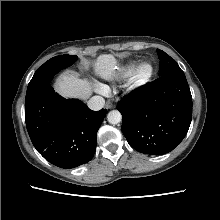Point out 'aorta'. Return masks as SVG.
Segmentation results:
<instances>
[{
  "label": "aorta",
  "mask_w": 220,
  "mask_h": 220,
  "mask_svg": "<svg viewBox=\"0 0 220 220\" xmlns=\"http://www.w3.org/2000/svg\"><path fill=\"white\" fill-rule=\"evenodd\" d=\"M107 120L111 124H118L122 120V115L117 110H112L107 114Z\"/></svg>",
  "instance_id": "obj_1"
}]
</instances>
